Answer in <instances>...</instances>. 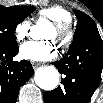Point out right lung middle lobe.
<instances>
[{"label":"right lung middle lobe","mask_w":103,"mask_h":103,"mask_svg":"<svg viewBox=\"0 0 103 103\" xmlns=\"http://www.w3.org/2000/svg\"><path fill=\"white\" fill-rule=\"evenodd\" d=\"M35 10L33 6H25L22 10H9L0 6V49L13 50L18 48L14 32L17 24Z\"/></svg>","instance_id":"right-lung-middle-lobe-1"}]
</instances>
